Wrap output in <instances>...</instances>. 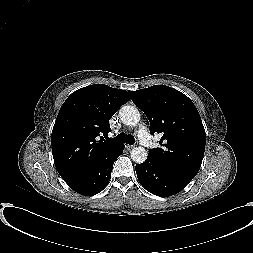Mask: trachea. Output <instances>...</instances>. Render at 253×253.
Instances as JSON below:
<instances>
[{
  "instance_id": "3493384b",
  "label": "trachea",
  "mask_w": 253,
  "mask_h": 253,
  "mask_svg": "<svg viewBox=\"0 0 253 253\" xmlns=\"http://www.w3.org/2000/svg\"><path fill=\"white\" fill-rule=\"evenodd\" d=\"M114 141L120 142V143H127V144H134L135 139L132 135H126L125 133H121L115 138H113Z\"/></svg>"
}]
</instances>
